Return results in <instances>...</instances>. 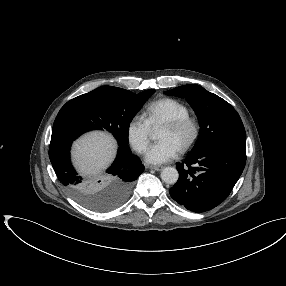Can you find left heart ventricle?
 Returning a JSON list of instances; mask_svg holds the SVG:
<instances>
[{"label":"left heart ventricle","mask_w":286,"mask_h":286,"mask_svg":"<svg viewBox=\"0 0 286 286\" xmlns=\"http://www.w3.org/2000/svg\"><path fill=\"white\" fill-rule=\"evenodd\" d=\"M189 135H190L189 128L172 129L168 127H162L159 133V139L160 140H171L179 148H181L184 142L188 139Z\"/></svg>","instance_id":"obj_1"}]
</instances>
